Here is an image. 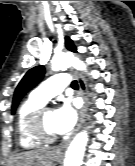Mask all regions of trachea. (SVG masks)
Wrapping results in <instances>:
<instances>
[{
	"mask_svg": "<svg viewBox=\"0 0 135 166\" xmlns=\"http://www.w3.org/2000/svg\"><path fill=\"white\" fill-rule=\"evenodd\" d=\"M71 86H72V88H74V89H78V87H79L76 80L72 81Z\"/></svg>",
	"mask_w": 135,
	"mask_h": 166,
	"instance_id": "obj_1",
	"label": "trachea"
}]
</instances>
